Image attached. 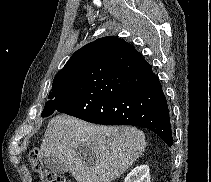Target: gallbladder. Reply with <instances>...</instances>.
I'll use <instances>...</instances> for the list:
<instances>
[{
  "label": "gallbladder",
  "mask_w": 211,
  "mask_h": 182,
  "mask_svg": "<svg viewBox=\"0 0 211 182\" xmlns=\"http://www.w3.org/2000/svg\"><path fill=\"white\" fill-rule=\"evenodd\" d=\"M78 154L84 159H95L94 153L87 147H82L77 150ZM43 163L47 169L56 174H63L67 172V168L60 162L59 159L48 156L43 158Z\"/></svg>",
  "instance_id": "bac80fb5"
}]
</instances>
